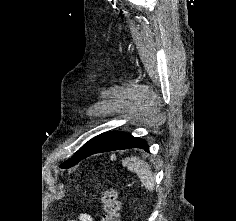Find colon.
I'll return each mask as SVG.
<instances>
[{
    "instance_id": "obj_1",
    "label": "colon",
    "mask_w": 236,
    "mask_h": 221,
    "mask_svg": "<svg viewBox=\"0 0 236 221\" xmlns=\"http://www.w3.org/2000/svg\"><path fill=\"white\" fill-rule=\"evenodd\" d=\"M100 199L103 207L101 221H120V203L116 189L100 191Z\"/></svg>"
}]
</instances>
